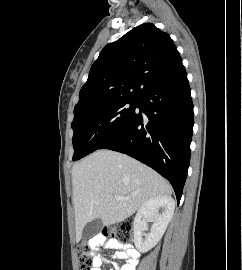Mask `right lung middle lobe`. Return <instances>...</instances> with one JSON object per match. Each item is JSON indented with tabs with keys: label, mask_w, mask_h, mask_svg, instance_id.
<instances>
[{
	"label": "right lung middle lobe",
	"mask_w": 242,
	"mask_h": 270,
	"mask_svg": "<svg viewBox=\"0 0 242 270\" xmlns=\"http://www.w3.org/2000/svg\"><path fill=\"white\" fill-rule=\"evenodd\" d=\"M136 100H117L74 114L73 161L97 150L112 138L134 113Z\"/></svg>",
	"instance_id": "dd1d6c3e"
}]
</instances>
